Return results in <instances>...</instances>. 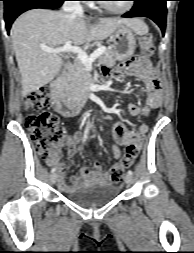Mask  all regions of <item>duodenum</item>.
I'll use <instances>...</instances> for the list:
<instances>
[{"label":"duodenum","instance_id":"duodenum-1","mask_svg":"<svg viewBox=\"0 0 194 253\" xmlns=\"http://www.w3.org/2000/svg\"><path fill=\"white\" fill-rule=\"evenodd\" d=\"M65 76L66 73H61L60 76L51 83L50 87L56 111L62 116L72 117L78 114L83 105V101L87 100V94L92 87V82L89 81L86 85H76L75 88L72 89V92L75 93L74 97L76 99H70L63 93Z\"/></svg>","mask_w":194,"mask_h":253}]
</instances>
